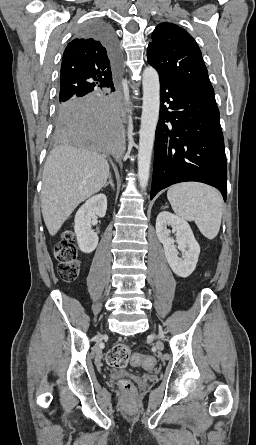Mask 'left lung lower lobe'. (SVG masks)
I'll use <instances>...</instances> for the list:
<instances>
[{
    "mask_svg": "<svg viewBox=\"0 0 256 445\" xmlns=\"http://www.w3.org/2000/svg\"><path fill=\"white\" fill-rule=\"evenodd\" d=\"M160 94L150 199L172 184L197 181L216 187L226 201V155L214 95L165 77Z\"/></svg>",
    "mask_w": 256,
    "mask_h": 445,
    "instance_id": "obj_1",
    "label": "left lung lower lobe"
}]
</instances>
